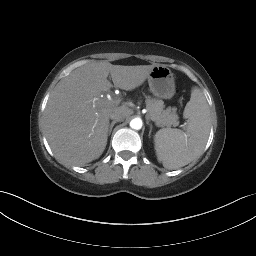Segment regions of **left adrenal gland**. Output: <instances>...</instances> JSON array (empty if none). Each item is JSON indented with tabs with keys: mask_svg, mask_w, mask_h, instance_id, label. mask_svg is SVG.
I'll return each instance as SVG.
<instances>
[{
	"mask_svg": "<svg viewBox=\"0 0 256 256\" xmlns=\"http://www.w3.org/2000/svg\"><path fill=\"white\" fill-rule=\"evenodd\" d=\"M146 123L150 126V131H149V138L151 137V132L153 129V125L149 122V120L147 119Z\"/></svg>",
	"mask_w": 256,
	"mask_h": 256,
	"instance_id": "a2214340",
	"label": "left adrenal gland"
}]
</instances>
